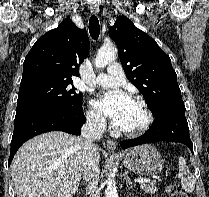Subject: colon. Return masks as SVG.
Instances as JSON below:
<instances>
[{
    "label": "colon",
    "mask_w": 209,
    "mask_h": 197,
    "mask_svg": "<svg viewBox=\"0 0 209 197\" xmlns=\"http://www.w3.org/2000/svg\"><path fill=\"white\" fill-rule=\"evenodd\" d=\"M167 191L170 194V197H188L187 194L184 191L178 189L174 183H170L167 186Z\"/></svg>",
    "instance_id": "5ec220e1"
}]
</instances>
